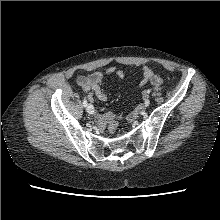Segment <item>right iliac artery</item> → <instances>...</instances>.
<instances>
[{"instance_id":"right-iliac-artery-1","label":"right iliac artery","mask_w":220,"mask_h":220,"mask_svg":"<svg viewBox=\"0 0 220 220\" xmlns=\"http://www.w3.org/2000/svg\"><path fill=\"white\" fill-rule=\"evenodd\" d=\"M83 106H84V107H87V106H88V103H87L86 98H84V100H83Z\"/></svg>"}]
</instances>
